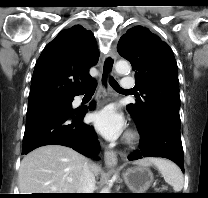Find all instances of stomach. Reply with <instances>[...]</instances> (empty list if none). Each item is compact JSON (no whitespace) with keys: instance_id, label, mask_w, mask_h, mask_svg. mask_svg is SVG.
Returning <instances> with one entry per match:
<instances>
[{"instance_id":"obj_1","label":"stomach","mask_w":208,"mask_h":198,"mask_svg":"<svg viewBox=\"0 0 208 198\" xmlns=\"http://www.w3.org/2000/svg\"><path fill=\"white\" fill-rule=\"evenodd\" d=\"M123 179L134 193H145L153 182V173L143 165L128 168L123 173Z\"/></svg>"}]
</instances>
